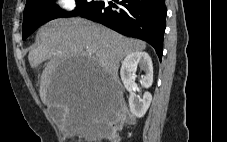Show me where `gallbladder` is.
<instances>
[{
    "instance_id": "bac80fb5",
    "label": "gallbladder",
    "mask_w": 227,
    "mask_h": 142,
    "mask_svg": "<svg viewBox=\"0 0 227 142\" xmlns=\"http://www.w3.org/2000/svg\"><path fill=\"white\" fill-rule=\"evenodd\" d=\"M62 114H63V109L62 108H50V115L53 117V119L57 121L62 120Z\"/></svg>"
}]
</instances>
